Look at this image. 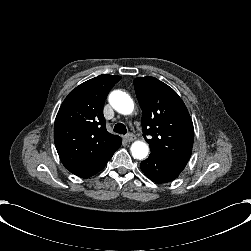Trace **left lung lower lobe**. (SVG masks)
<instances>
[{"mask_svg":"<svg viewBox=\"0 0 251 251\" xmlns=\"http://www.w3.org/2000/svg\"><path fill=\"white\" fill-rule=\"evenodd\" d=\"M140 168L150 180L161 184L175 180L185 166L165 161L150 154L146 160L141 162Z\"/></svg>","mask_w":251,"mask_h":251,"instance_id":"1","label":"left lung lower lobe"}]
</instances>
